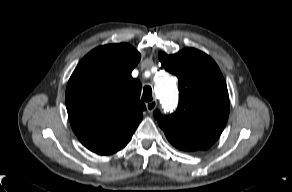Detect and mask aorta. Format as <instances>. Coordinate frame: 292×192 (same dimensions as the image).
I'll use <instances>...</instances> for the list:
<instances>
[{"instance_id": "aorta-1", "label": "aorta", "mask_w": 292, "mask_h": 192, "mask_svg": "<svg viewBox=\"0 0 292 192\" xmlns=\"http://www.w3.org/2000/svg\"><path fill=\"white\" fill-rule=\"evenodd\" d=\"M155 91L166 107H172L176 104L177 91L168 74L162 73L156 78Z\"/></svg>"}]
</instances>
